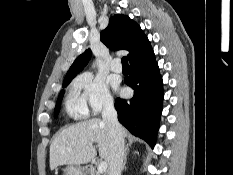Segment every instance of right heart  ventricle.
Listing matches in <instances>:
<instances>
[{"instance_id":"right-heart-ventricle-1","label":"right heart ventricle","mask_w":233,"mask_h":175,"mask_svg":"<svg viewBox=\"0 0 233 175\" xmlns=\"http://www.w3.org/2000/svg\"><path fill=\"white\" fill-rule=\"evenodd\" d=\"M65 110L73 119H84L88 116V108L78 92L72 87L65 101Z\"/></svg>"}]
</instances>
